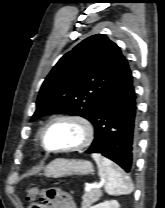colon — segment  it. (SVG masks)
<instances>
[{
    "label": "colon",
    "instance_id": "1",
    "mask_svg": "<svg viewBox=\"0 0 165 208\" xmlns=\"http://www.w3.org/2000/svg\"><path fill=\"white\" fill-rule=\"evenodd\" d=\"M40 195V189L38 187L27 188V200L34 201Z\"/></svg>",
    "mask_w": 165,
    "mask_h": 208
}]
</instances>
